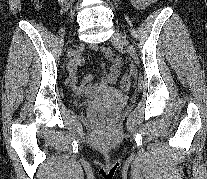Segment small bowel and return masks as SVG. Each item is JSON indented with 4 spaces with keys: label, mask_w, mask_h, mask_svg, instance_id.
<instances>
[{
    "label": "small bowel",
    "mask_w": 207,
    "mask_h": 179,
    "mask_svg": "<svg viewBox=\"0 0 207 179\" xmlns=\"http://www.w3.org/2000/svg\"><path fill=\"white\" fill-rule=\"evenodd\" d=\"M133 2L137 7L145 9L151 3L155 2V0H133ZM91 48L93 50H100L103 56L109 61L110 66L108 70L104 69L100 81L91 84L90 82L93 79V75L90 74L85 76L80 82H78L76 72L77 69L83 64V59L78 55L74 56L70 64L67 83L77 94L98 92L107 89L111 85L116 83L121 72V59L119 56L115 55L110 48L105 46H102L100 48H98L97 46H92Z\"/></svg>",
    "instance_id": "c3829d8e"
}]
</instances>
